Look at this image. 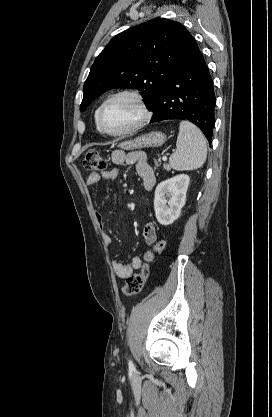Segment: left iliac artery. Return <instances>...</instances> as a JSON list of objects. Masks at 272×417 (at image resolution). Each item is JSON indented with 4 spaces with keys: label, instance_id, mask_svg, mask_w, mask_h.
Listing matches in <instances>:
<instances>
[{
    "label": "left iliac artery",
    "instance_id": "1",
    "mask_svg": "<svg viewBox=\"0 0 272 417\" xmlns=\"http://www.w3.org/2000/svg\"><path fill=\"white\" fill-rule=\"evenodd\" d=\"M128 365L130 370H134V364L131 360H129Z\"/></svg>",
    "mask_w": 272,
    "mask_h": 417
}]
</instances>
